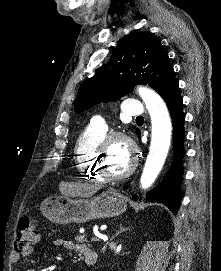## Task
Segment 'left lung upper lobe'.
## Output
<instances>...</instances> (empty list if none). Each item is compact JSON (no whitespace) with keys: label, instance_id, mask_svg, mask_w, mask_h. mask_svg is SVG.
<instances>
[{"label":"left lung upper lobe","instance_id":"1","mask_svg":"<svg viewBox=\"0 0 221 271\" xmlns=\"http://www.w3.org/2000/svg\"><path fill=\"white\" fill-rule=\"evenodd\" d=\"M175 81L174 69L160 40L147 33H134L117 45L107 64L83 81L74 107L81 112L100 100L115 101L137 84H148L162 95Z\"/></svg>","mask_w":221,"mask_h":271}]
</instances>
